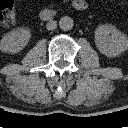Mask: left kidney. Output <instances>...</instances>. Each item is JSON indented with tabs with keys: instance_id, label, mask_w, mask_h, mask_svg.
Returning <instances> with one entry per match:
<instances>
[{
	"instance_id": "obj_1",
	"label": "left kidney",
	"mask_w": 128,
	"mask_h": 128,
	"mask_svg": "<svg viewBox=\"0 0 128 128\" xmlns=\"http://www.w3.org/2000/svg\"><path fill=\"white\" fill-rule=\"evenodd\" d=\"M95 43L107 57H116L128 49V37L111 24L99 25L95 30Z\"/></svg>"
}]
</instances>
